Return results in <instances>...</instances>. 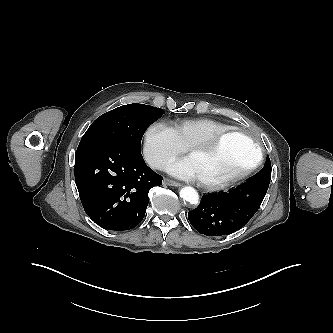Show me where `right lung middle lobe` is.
Returning <instances> with one entry per match:
<instances>
[{
  "label": "right lung middle lobe",
  "instance_id": "dd1d6c3e",
  "mask_svg": "<svg viewBox=\"0 0 333 333\" xmlns=\"http://www.w3.org/2000/svg\"><path fill=\"white\" fill-rule=\"evenodd\" d=\"M163 113L162 109L137 103L118 107L98 117L80 143L113 142L140 151L145 130Z\"/></svg>",
  "mask_w": 333,
  "mask_h": 333
}]
</instances>
